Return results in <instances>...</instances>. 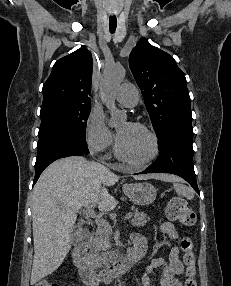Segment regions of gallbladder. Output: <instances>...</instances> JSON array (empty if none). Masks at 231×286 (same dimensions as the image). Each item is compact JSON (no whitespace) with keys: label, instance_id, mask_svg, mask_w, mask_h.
<instances>
[{"label":"gallbladder","instance_id":"gallbladder-1","mask_svg":"<svg viewBox=\"0 0 231 286\" xmlns=\"http://www.w3.org/2000/svg\"><path fill=\"white\" fill-rule=\"evenodd\" d=\"M75 232H76V233H80V232H81V229H80V228H76V229H75Z\"/></svg>","mask_w":231,"mask_h":286}]
</instances>
